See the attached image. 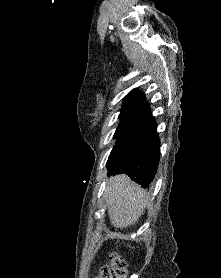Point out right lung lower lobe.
Masks as SVG:
<instances>
[{
  "label": "right lung lower lobe",
  "mask_w": 221,
  "mask_h": 278,
  "mask_svg": "<svg viewBox=\"0 0 221 278\" xmlns=\"http://www.w3.org/2000/svg\"><path fill=\"white\" fill-rule=\"evenodd\" d=\"M159 158L160 143L151 117L134 136L111 152L107 167L111 174L125 173L146 188L155 177Z\"/></svg>",
  "instance_id": "98d812e1"
}]
</instances>
